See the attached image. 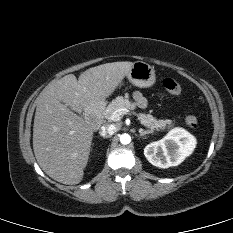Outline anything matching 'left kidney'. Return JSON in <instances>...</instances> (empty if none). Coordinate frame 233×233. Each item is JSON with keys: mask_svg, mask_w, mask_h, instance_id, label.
<instances>
[{"mask_svg": "<svg viewBox=\"0 0 233 233\" xmlns=\"http://www.w3.org/2000/svg\"><path fill=\"white\" fill-rule=\"evenodd\" d=\"M196 139L182 128L169 132L163 139L148 144L144 155L148 161L159 168L180 164L194 150Z\"/></svg>", "mask_w": 233, "mask_h": 233, "instance_id": "left-kidney-1", "label": "left kidney"}]
</instances>
